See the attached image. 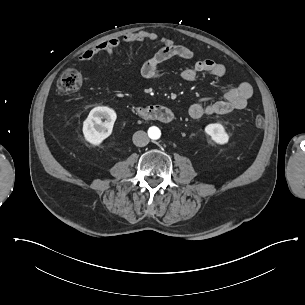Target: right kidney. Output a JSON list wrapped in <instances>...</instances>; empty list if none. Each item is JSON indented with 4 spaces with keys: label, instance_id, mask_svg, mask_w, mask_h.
I'll return each instance as SVG.
<instances>
[{
    "label": "right kidney",
    "instance_id": "right-kidney-1",
    "mask_svg": "<svg viewBox=\"0 0 305 305\" xmlns=\"http://www.w3.org/2000/svg\"><path fill=\"white\" fill-rule=\"evenodd\" d=\"M102 119H106V121L102 122ZM115 120L116 113L113 109L104 106L93 108L83 124L85 139L94 145H99L106 130L112 129Z\"/></svg>",
    "mask_w": 305,
    "mask_h": 305
}]
</instances>
